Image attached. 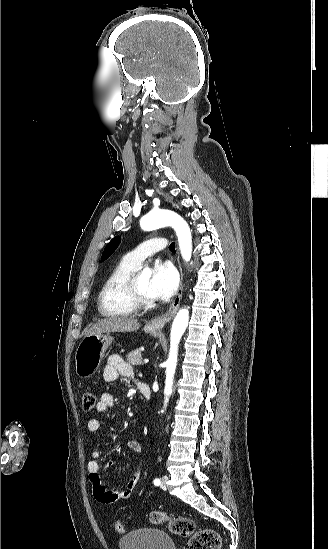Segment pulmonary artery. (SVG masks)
<instances>
[{"instance_id":"e3ab8cb5","label":"pulmonary artery","mask_w":328,"mask_h":549,"mask_svg":"<svg viewBox=\"0 0 328 549\" xmlns=\"http://www.w3.org/2000/svg\"><path fill=\"white\" fill-rule=\"evenodd\" d=\"M165 243L168 245L170 242H165L163 237H151L149 241H143L141 246H135L133 251L128 253V257L136 263H141L148 256L152 257L156 252L162 251Z\"/></svg>"}]
</instances>
